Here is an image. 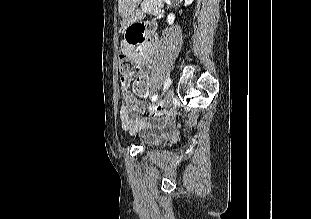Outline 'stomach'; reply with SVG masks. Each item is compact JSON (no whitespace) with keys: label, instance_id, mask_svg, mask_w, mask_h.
Listing matches in <instances>:
<instances>
[{"label":"stomach","instance_id":"obj_1","mask_svg":"<svg viewBox=\"0 0 311 219\" xmlns=\"http://www.w3.org/2000/svg\"><path fill=\"white\" fill-rule=\"evenodd\" d=\"M139 2L140 0L131 1V11L126 16H124V24L128 25L129 23H132L133 21H136L142 17L141 13L134 12V9Z\"/></svg>","mask_w":311,"mask_h":219}]
</instances>
